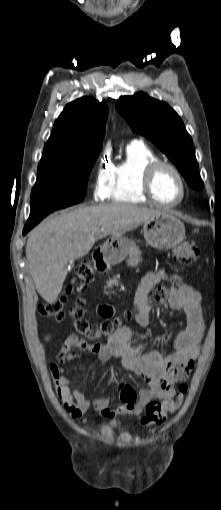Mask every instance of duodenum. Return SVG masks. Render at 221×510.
Instances as JSON below:
<instances>
[{"instance_id":"1","label":"duodenum","mask_w":221,"mask_h":510,"mask_svg":"<svg viewBox=\"0 0 221 510\" xmlns=\"http://www.w3.org/2000/svg\"><path fill=\"white\" fill-rule=\"evenodd\" d=\"M93 262L97 271L104 272L106 270L107 260L102 248H99L94 252ZM103 310H106V308L101 309V311Z\"/></svg>"}]
</instances>
